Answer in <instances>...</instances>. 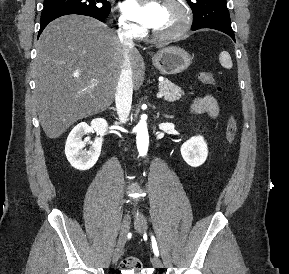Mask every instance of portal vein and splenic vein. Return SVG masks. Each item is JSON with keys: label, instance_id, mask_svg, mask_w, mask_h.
<instances>
[{"label": "portal vein and splenic vein", "instance_id": "obj_1", "mask_svg": "<svg viewBox=\"0 0 289 274\" xmlns=\"http://www.w3.org/2000/svg\"><path fill=\"white\" fill-rule=\"evenodd\" d=\"M164 94L162 92H158L157 97L161 98Z\"/></svg>", "mask_w": 289, "mask_h": 274}]
</instances>
